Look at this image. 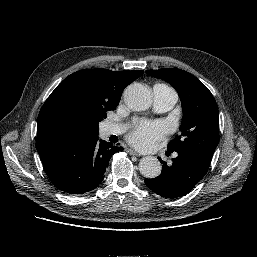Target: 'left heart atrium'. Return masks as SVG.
<instances>
[{"instance_id":"obj_1","label":"left heart atrium","mask_w":257,"mask_h":257,"mask_svg":"<svg viewBox=\"0 0 257 257\" xmlns=\"http://www.w3.org/2000/svg\"><path fill=\"white\" fill-rule=\"evenodd\" d=\"M165 133V126L160 122L137 121L127 138L134 147L149 150L164 138Z\"/></svg>"}]
</instances>
